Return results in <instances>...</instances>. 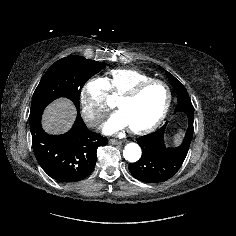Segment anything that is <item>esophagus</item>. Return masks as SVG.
I'll return each instance as SVG.
<instances>
[{
  "instance_id": "obj_1",
  "label": "esophagus",
  "mask_w": 236,
  "mask_h": 236,
  "mask_svg": "<svg viewBox=\"0 0 236 236\" xmlns=\"http://www.w3.org/2000/svg\"><path fill=\"white\" fill-rule=\"evenodd\" d=\"M109 143H110V144H120L121 141H120V140H117V139H110V140H109Z\"/></svg>"
}]
</instances>
